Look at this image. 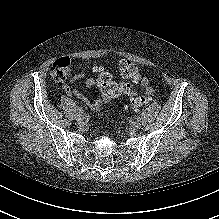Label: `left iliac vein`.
Listing matches in <instances>:
<instances>
[{
    "mask_svg": "<svg viewBox=\"0 0 219 219\" xmlns=\"http://www.w3.org/2000/svg\"><path fill=\"white\" fill-rule=\"evenodd\" d=\"M141 126H142V124H141L140 121H133V122L131 123V128H132L133 130H139V129L141 128Z\"/></svg>",
    "mask_w": 219,
    "mask_h": 219,
    "instance_id": "1",
    "label": "left iliac vein"
}]
</instances>
